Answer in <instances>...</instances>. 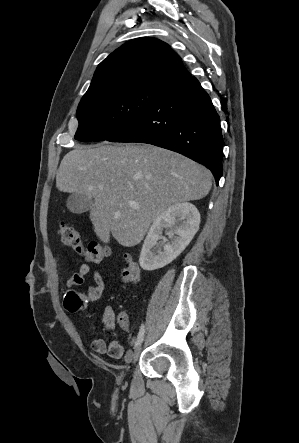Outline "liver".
I'll return each instance as SVG.
<instances>
[{
  "label": "liver",
  "instance_id": "liver-1",
  "mask_svg": "<svg viewBox=\"0 0 299 443\" xmlns=\"http://www.w3.org/2000/svg\"><path fill=\"white\" fill-rule=\"evenodd\" d=\"M211 186L207 168L150 145L76 146L56 174L59 191L94 198L90 220L97 237L108 243L112 234L124 247L139 244L167 208L200 200Z\"/></svg>",
  "mask_w": 299,
  "mask_h": 443
}]
</instances>
